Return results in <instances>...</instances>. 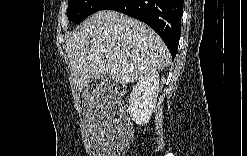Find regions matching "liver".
Listing matches in <instances>:
<instances>
[{
  "instance_id": "obj_1",
  "label": "liver",
  "mask_w": 247,
  "mask_h": 156,
  "mask_svg": "<svg viewBox=\"0 0 247 156\" xmlns=\"http://www.w3.org/2000/svg\"><path fill=\"white\" fill-rule=\"evenodd\" d=\"M70 72L79 90L109 75L123 84L140 80L171 61L162 39L144 23L123 13L102 10L67 35Z\"/></svg>"
}]
</instances>
